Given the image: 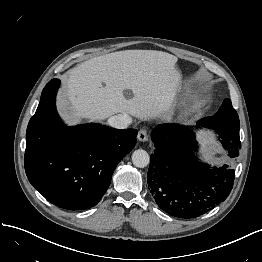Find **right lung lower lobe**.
Instances as JSON below:
<instances>
[{
  "mask_svg": "<svg viewBox=\"0 0 262 262\" xmlns=\"http://www.w3.org/2000/svg\"><path fill=\"white\" fill-rule=\"evenodd\" d=\"M60 80L52 79L26 132L25 171L30 183L52 204L69 210L95 206L111 182L117 164L136 144V129L100 124L67 127L55 97Z\"/></svg>",
  "mask_w": 262,
  "mask_h": 262,
  "instance_id": "right-lung-lower-lobe-1",
  "label": "right lung lower lobe"
}]
</instances>
